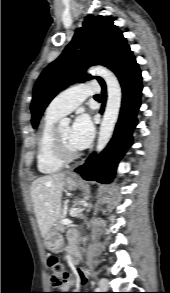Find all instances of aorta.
Here are the masks:
<instances>
[{"label": "aorta", "mask_w": 170, "mask_h": 293, "mask_svg": "<svg viewBox=\"0 0 170 293\" xmlns=\"http://www.w3.org/2000/svg\"><path fill=\"white\" fill-rule=\"evenodd\" d=\"M90 72L100 76L107 86V103L102 122L99 128L97 139V152H101L109 142V139L117 122L122 100V90L117 77L112 71L103 66H94ZM61 123H69L68 119H63Z\"/></svg>", "instance_id": "1"}]
</instances>
